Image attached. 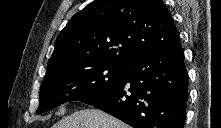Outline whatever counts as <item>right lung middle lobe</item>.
I'll return each mask as SVG.
<instances>
[{
    "label": "right lung middle lobe",
    "instance_id": "1",
    "mask_svg": "<svg viewBox=\"0 0 221 128\" xmlns=\"http://www.w3.org/2000/svg\"><path fill=\"white\" fill-rule=\"evenodd\" d=\"M127 66L103 63H75L46 73L41 89L37 114L68 101H83L118 83Z\"/></svg>",
    "mask_w": 221,
    "mask_h": 128
}]
</instances>
